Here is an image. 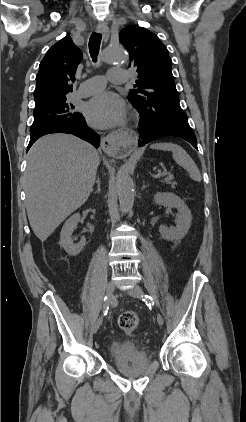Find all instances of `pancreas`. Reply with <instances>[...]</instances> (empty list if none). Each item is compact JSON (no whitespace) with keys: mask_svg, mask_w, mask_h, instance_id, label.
Returning a JSON list of instances; mask_svg holds the SVG:
<instances>
[{"mask_svg":"<svg viewBox=\"0 0 246 422\" xmlns=\"http://www.w3.org/2000/svg\"><path fill=\"white\" fill-rule=\"evenodd\" d=\"M173 179V176L172 175H169L168 177H166L165 179H164V182H166V183H168V184H171V180Z\"/></svg>","mask_w":246,"mask_h":422,"instance_id":"1","label":"pancreas"}]
</instances>
